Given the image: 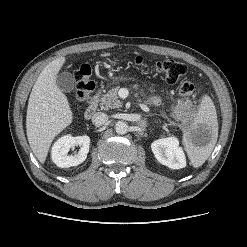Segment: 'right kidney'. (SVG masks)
I'll list each match as a JSON object with an SVG mask.
<instances>
[{"instance_id": "ca27d5eb", "label": "right kidney", "mask_w": 247, "mask_h": 247, "mask_svg": "<svg viewBox=\"0 0 247 247\" xmlns=\"http://www.w3.org/2000/svg\"><path fill=\"white\" fill-rule=\"evenodd\" d=\"M80 146V150L75 155H68L70 148ZM90 138L87 135L72 137L66 135L59 138L51 150L52 161L60 168L77 166L84 162L89 152Z\"/></svg>"}]
</instances>
